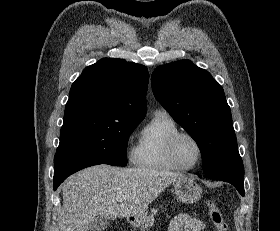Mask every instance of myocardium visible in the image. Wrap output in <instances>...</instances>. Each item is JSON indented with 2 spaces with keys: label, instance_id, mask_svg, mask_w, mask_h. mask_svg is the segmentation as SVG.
Here are the masks:
<instances>
[{
  "label": "myocardium",
  "instance_id": "1",
  "mask_svg": "<svg viewBox=\"0 0 280 231\" xmlns=\"http://www.w3.org/2000/svg\"><path fill=\"white\" fill-rule=\"evenodd\" d=\"M182 136H187V137L192 138L196 142V144L199 148L198 163L196 166H194L192 168H186V167L181 166L177 162V160L175 159V156H174V148H175L176 142ZM166 156H167V159L169 160V162L173 166H175L178 170L185 171V172H191V171H195V170L199 169L201 167V165L203 164L204 158H205V150H204V146H203L201 140L196 135H194L193 133L188 132V131L179 130L169 137L167 144H166Z\"/></svg>",
  "mask_w": 280,
  "mask_h": 231
}]
</instances>
